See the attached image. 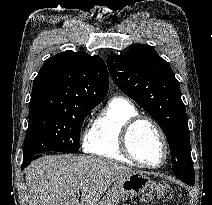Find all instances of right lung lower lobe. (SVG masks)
<instances>
[{
    "label": "right lung lower lobe",
    "instance_id": "right-lung-lower-lobe-1",
    "mask_svg": "<svg viewBox=\"0 0 212 205\" xmlns=\"http://www.w3.org/2000/svg\"><path fill=\"white\" fill-rule=\"evenodd\" d=\"M39 156H41V154H36V155L31 156V157L24 158V159H23V164H22V166H21V169L23 170L24 168H26V167L30 164V162H31L32 160L38 158Z\"/></svg>",
    "mask_w": 212,
    "mask_h": 205
}]
</instances>
